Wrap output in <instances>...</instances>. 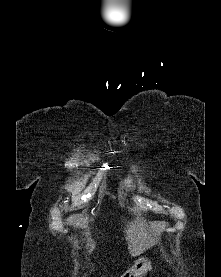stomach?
I'll return each instance as SVG.
<instances>
[{
	"mask_svg": "<svg viewBox=\"0 0 221 277\" xmlns=\"http://www.w3.org/2000/svg\"><path fill=\"white\" fill-rule=\"evenodd\" d=\"M150 269L151 262L148 258L141 257L121 277H143Z\"/></svg>",
	"mask_w": 221,
	"mask_h": 277,
	"instance_id": "1",
	"label": "stomach"
}]
</instances>
